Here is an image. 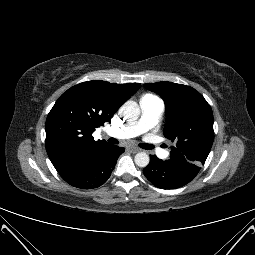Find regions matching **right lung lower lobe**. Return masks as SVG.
<instances>
[{"label": "right lung lower lobe", "instance_id": "obj_1", "mask_svg": "<svg viewBox=\"0 0 255 255\" xmlns=\"http://www.w3.org/2000/svg\"><path fill=\"white\" fill-rule=\"evenodd\" d=\"M123 152L124 148L110 144L95 153L76 160L58 172L71 186L80 189L96 188L107 181L118 157Z\"/></svg>", "mask_w": 255, "mask_h": 255}]
</instances>
